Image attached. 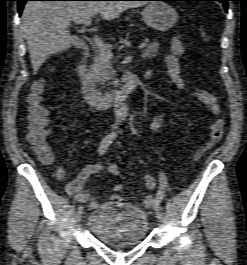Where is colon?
<instances>
[{"instance_id":"1","label":"colon","mask_w":247,"mask_h":265,"mask_svg":"<svg viewBox=\"0 0 247 265\" xmlns=\"http://www.w3.org/2000/svg\"><path fill=\"white\" fill-rule=\"evenodd\" d=\"M185 52V44L182 37H176L171 44V51L167 57V65L174 81L183 89L187 86L181 76V59ZM191 93L207 106L217 103L215 96L200 88H191ZM44 83L38 81L32 87L28 96V133L27 140L34 147L39 158L44 162L52 160L53 154L48 146L49 135L47 112L44 107ZM225 123L222 118L215 117L210 133L203 144L198 148L194 159L199 160L209 151L223 136ZM110 173L119 175V167L115 163L108 166Z\"/></svg>"}]
</instances>
